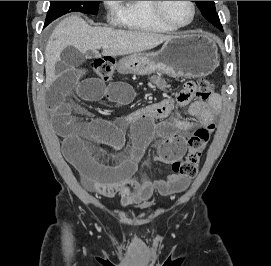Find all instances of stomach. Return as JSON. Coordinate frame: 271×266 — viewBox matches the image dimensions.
<instances>
[{
  "instance_id": "0dacf381",
  "label": "stomach",
  "mask_w": 271,
  "mask_h": 266,
  "mask_svg": "<svg viewBox=\"0 0 271 266\" xmlns=\"http://www.w3.org/2000/svg\"><path fill=\"white\" fill-rule=\"evenodd\" d=\"M218 65L216 42L205 33H184L165 41L157 52H139L120 60L125 72L145 75L158 71L173 77L197 78Z\"/></svg>"
}]
</instances>
